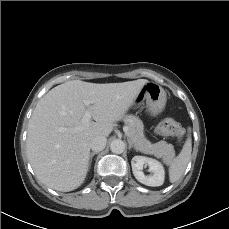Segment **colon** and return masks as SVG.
<instances>
[{"instance_id": "1", "label": "colon", "mask_w": 229, "mask_h": 229, "mask_svg": "<svg viewBox=\"0 0 229 229\" xmlns=\"http://www.w3.org/2000/svg\"><path fill=\"white\" fill-rule=\"evenodd\" d=\"M157 132L162 136L176 137L179 142L184 138V129L172 118L161 120L156 128Z\"/></svg>"}]
</instances>
